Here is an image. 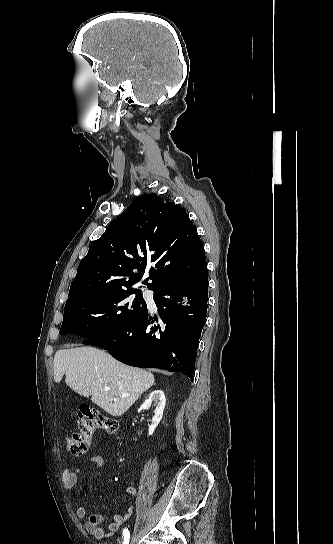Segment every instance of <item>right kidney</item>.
Listing matches in <instances>:
<instances>
[{"label": "right kidney", "mask_w": 333, "mask_h": 544, "mask_svg": "<svg viewBox=\"0 0 333 544\" xmlns=\"http://www.w3.org/2000/svg\"><path fill=\"white\" fill-rule=\"evenodd\" d=\"M154 404L156 406V410L154 411V416L152 418V423L149 426V435H152L155 428L158 426L160 420L163 416V411L165 408L166 398L164 395V392L162 390H155L153 391L148 399L144 401V403L140 406L138 409V412L147 409L151 404Z\"/></svg>", "instance_id": "ca27d5eb"}]
</instances>
